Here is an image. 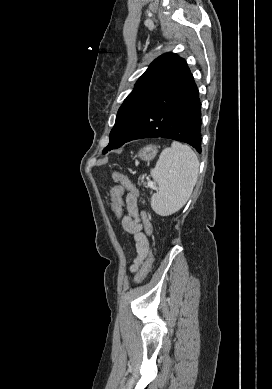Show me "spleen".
I'll use <instances>...</instances> for the list:
<instances>
[{
  "instance_id": "1",
  "label": "spleen",
  "mask_w": 272,
  "mask_h": 389,
  "mask_svg": "<svg viewBox=\"0 0 272 389\" xmlns=\"http://www.w3.org/2000/svg\"><path fill=\"white\" fill-rule=\"evenodd\" d=\"M199 161L193 150L178 142L165 148L151 170L159 188L151 197L152 209L161 216H169L182 208L196 184Z\"/></svg>"
}]
</instances>
